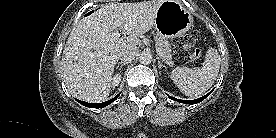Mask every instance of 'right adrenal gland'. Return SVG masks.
<instances>
[{
  "label": "right adrenal gland",
  "mask_w": 276,
  "mask_h": 138,
  "mask_svg": "<svg viewBox=\"0 0 276 138\" xmlns=\"http://www.w3.org/2000/svg\"><path fill=\"white\" fill-rule=\"evenodd\" d=\"M126 64H129V62H119V63H117V66H116V68L118 69L119 68V66H125Z\"/></svg>",
  "instance_id": "right-adrenal-gland-1"
}]
</instances>
